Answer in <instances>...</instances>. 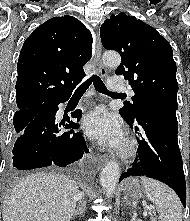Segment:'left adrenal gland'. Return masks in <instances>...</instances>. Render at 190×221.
<instances>
[{
    "instance_id": "left-adrenal-gland-1",
    "label": "left adrenal gland",
    "mask_w": 190,
    "mask_h": 221,
    "mask_svg": "<svg viewBox=\"0 0 190 221\" xmlns=\"http://www.w3.org/2000/svg\"><path fill=\"white\" fill-rule=\"evenodd\" d=\"M124 205L125 206H131V203H130V201L128 200V198H127V196H124Z\"/></svg>"
}]
</instances>
